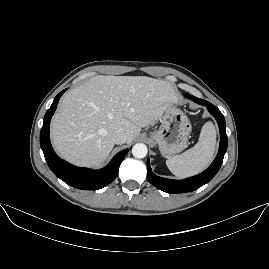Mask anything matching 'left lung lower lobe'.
<instances>
[{
  "mask_svg": "<svg viewBox=\"0 0 269 269\" xmlns=\"http://www.w3.org/2000/svg\"><path fill=\"white\" fill-rule=\"evenodd\" d=\"M189 98L193 101H195L198 104L204 105L207 107L208 111L215 117V119L218 122L219 130H220V147L218 154L213 161V163L210 165V167L202 172L199 175L183 179V180H171L159 177L155 175L149 164V159L147 162V176L149 182L157 187L158 189L167 192V193H185V192H191L199 187L203 186L204 184L208 183L219 171L221 164L223 162L224 154L227 150V135H226V123L223 114L220 112V110L213 106L208 101L196 98L192 95L189 96Z\"/></svg>",
  "mask_w": 269,
  "mask_h": 269,
  "instance_id": "obj_1",
  "label": "left lung lower lobe"
}]
</instances>
